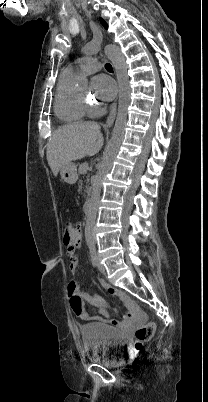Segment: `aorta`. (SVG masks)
Here are the masks:
<instances>
[{
  "instance_id": "762f6f07",
  "label": "aorta",
  "mask_w": 208,
  "mask_h": 402,
  "mask_svg": "<svg viewBox=\"0 0 208 402\" xmlns=\"http://www.w3.org/2000/svg\"><path fill=\"white\" fill-rule=\"evenodd\" d=\"M104 52L108 60L112 62L114 70L116 72V78L118 80L119 86V102L117 118L112 138L104 152L102 168L98 171V173L95 174V180L92 186V198L89 208V214L85 222L86 226L84 230V243L90 250L93 257H96L98 255L96 243L94 242V233L96 229V214L99 204V198L103 194V177L107 174V171L110 170L112 162H114V158L115 156H117L119 146L123 140L125 126L127 122L128 106L130 104L131 98L129 78L127 76V64L119 46H115V44H108V46H105Z\"/></svg>"
}]
</instances>
